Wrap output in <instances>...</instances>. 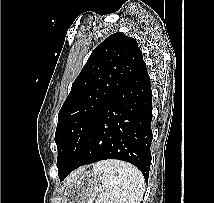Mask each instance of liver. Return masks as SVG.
I'll return each instance as SVG.
<instances>
[{
    "mask_svg": "<svg viewBox=\"0 0 214 203\" xmlns=\"http://www.w3.org/2000/svg\"><path fill=\"white\" fill-rule=\"evenodd\" d=\"M78 174H79V171L72 173V174L66 179V183H65V184L67 185L68 183L72 182V181L74 180V178H75L76 176H78Z\"/></svg>",
    "mask_w": 214,
    "mask_h": 203,
    "instance_id": "obj_1",
    "label": "liver"
}]
</instances>
